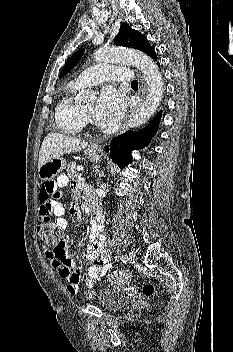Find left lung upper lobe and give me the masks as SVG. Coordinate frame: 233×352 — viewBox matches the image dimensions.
I'll return each instance as SVG.
<instances>
[{
	"label": "left lung upper lobe",
	"mask_w": 233,
	"mask_h": 352,
	"mask_svg": "<svg viewBox=\"0 0 233 352\" xmlns=\"http://www.w3.org/2000/svg\"><path fill=\"white\" fill-rule=\"evenodd\" d=\"M114 43L118 46L132 47L139 49L149 55L154 61L157 60V55L155 50L150 46L147 38L139 33L138 31L132 29L128 24L124 23L120 26V30L114 39ZM84 50H79L74 53L64 65L60 78L66 75L73 67L77 65L81 59Z\"/></svg>",
	"instance_id": "5c2ea615"
}]
</instances>
